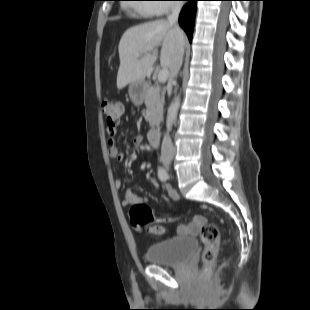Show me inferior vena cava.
I'll return each mask as SVG.
<instances>
[{
	"label": "inferior vena cava",
	"instance_id": "602c4592",
	"mask_svg": "<svg viewBox=\"0 0 310 310\" xmlns=\"http://www.w3.org/2000/svg\"><path fill=\"white\" fill-rule=\"evenodd\" d=\"M182 4L175 2L172 4L171 13L168 15L167 20L168 22L173 25L177 32V50L170 67V74L171 78L173 79L179 72L182 62H183V55H184V44H183V33L177 26L178 16L181 11ZM171 94V89L168 90V95ZM175 153V148L173 146L172 140L168 134L164 135L161 147V154L162 156L173 155Z\"/></svg>",
	"mask_w": 310,
	"mask_h": 310
}]
</instances>
